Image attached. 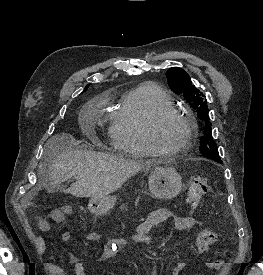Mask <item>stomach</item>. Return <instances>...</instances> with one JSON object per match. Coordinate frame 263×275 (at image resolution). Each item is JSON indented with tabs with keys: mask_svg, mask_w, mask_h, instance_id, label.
Returning <instances> with one entry per match:
<instances>
[{
	"mask_svg": "<svg viewBox=\"0 0 263 275\" xmlns=\"http://www.w3.org/2000/svg\"><path fill=\"white\" fill-rule=\"evenodd\" d=\"M182 178L172 167H157L149 177V190L158 199H171L182 191ZM116 196L92 198L88 209L95 215L106 214L115 206Z\"/></svg>",
	"mask_w": 263,
	"mask_h": 275,
	"instance_id": "obj_1",
	"label": "stomach"
}]
</instances>
